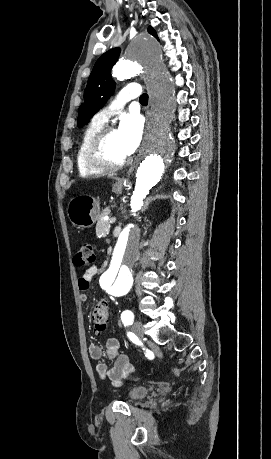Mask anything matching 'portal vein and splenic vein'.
<instances>
[{
	"label": "portal vein and splenic vein",
	"instance_id": "18ae733b",
	"mask_svg": "<svg viewBox=\"0 0 271 459\" xmlns=\"http://www.w3.org/2000/svg\"><path fill=\"white\" fill-rule=\"evenodd\" d=\"M115 219H116V216H113L112 221H110L109 223L110 224H114L115 223Z\"/></svg>",
	"mask_w": 271,
	"mask_h": 459
}]
</instances>
